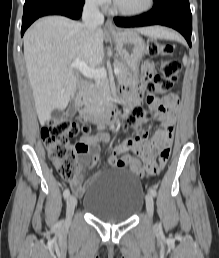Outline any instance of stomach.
Segmentation results:
<instances>
[{
    "label": "stomach",
    "instance_id": "obj_1",
    "mask_svg": "<svg viewBox=\"0 0 219 258\" xmlns=\"http://www.w3.org/2000/svg\"><path fill=\"white\" fill-rule=\"evenodd\" d=\"M111 36L116 42L119 56L136 75L138 65L147 51L144 40L131 29L118 31Z\"/></svg>",
    "mask_w": 219,
    "mask_h": 258
}]
</instances>
